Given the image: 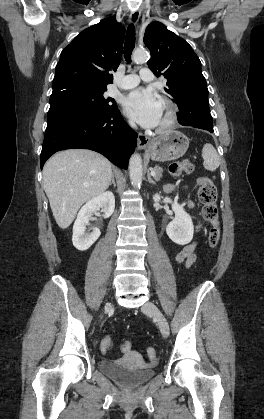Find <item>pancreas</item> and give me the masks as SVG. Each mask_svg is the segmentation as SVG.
Wrapping results in <instances>:
<instances>
[{"instance_id": "obj_1", "label": "pancreas", "mask_w": 264, "mask_h": 419, "mask_svg": "<svg viewBox=\"0 0 264 419\" xmlns=\"http://www.w3.org/2000/svg\"><path fill=\"white\" fill-rule=\"evenodd\" d=\"M153 170L156 173V175L154 176L155 180H160L162 177L163 169L159 166H156Z\"/></svg>"}]
</instances>
